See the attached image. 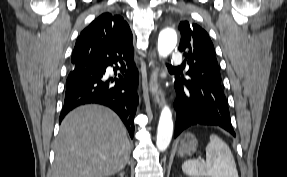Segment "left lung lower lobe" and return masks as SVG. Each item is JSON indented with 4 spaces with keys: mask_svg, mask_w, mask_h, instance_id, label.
I'll list each match as a JSON object with an SVG mask.
<instances>
[{
    "mask_svg": "<svg viewBox=\"0 0 287 177\" xmlns=\"http://www.w3.org/2000/svg\"><path fill=\"white\" fill-rule=\"evenodd\" d=\"M174 87V107L177 113L174 137L195 124L218 125L235 136L221 88L215 86L204 91L200 85L179 76L175 77Z\"/></svg>",
    "mask_w": 287,
    "mask_h": 177,
    "instance_id": "1",
    "label": "left lung lower lobe"
}]
</instances>
